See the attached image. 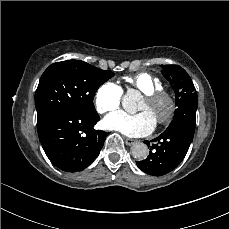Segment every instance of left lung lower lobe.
I'll use <instances>...</instances> for the list:
<instances>
[{"mask_svg": "<svg viewBox=\"0 0 229 229\" xmlns=\"http://www.w3.org/2000/svg\"><path fill=\"white\" fill-rule=\"evenodd\" d=\"M194 134L186 128L166 129L160 136L152 140L154 151H150L145 160L138 161L137 166L152 176H161L174 170L184 159ZM149 146V141H145Z\"/></svg>", "mask_w": 229, "mask_h": 229, "instance_id": "0a47b994", "label": "left lung lower lobe"}]
</instances>
